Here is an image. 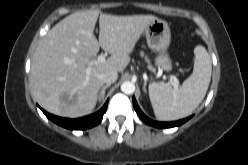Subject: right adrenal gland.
<instances>
[{
    "label": "right adrenal gland",
    "mask_w": 248,
    "mask_h": 165,
    "mask_svg": "<svg viewBox=\"0 0 248 165\" xmlns=\"http://www.w3.org/2000/svg\"><path fill=\"white\" fill-rule=\"evenodd\" d=\"M110 86H111L110 84H106L105 86L102 87L101 91L98 94L99 100L104 99L106 89L109 88Z\"/></svg>",
    "instance_id": "2a0ac1e0"
}]
</instances>
